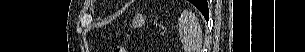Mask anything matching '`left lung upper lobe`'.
Returning <instances> with one entry per match:
<instances>
[{
	"mask_svg": "<svg viewBox=\"0 0 305 52\" xmlns=\"http://www.w3.org/2000/svg\"><path fill=\"white\" fill-rule=\"evenodd\" d=\"M191 3H193L197 8L203 7L204 2L203 0H190Z\"/></svg>",
	"mask_w": 305,
	"mask_h": 52,
	"instance_id": "1",
	"label": "left lung upper lobe"
}]
</instances>
